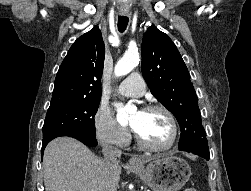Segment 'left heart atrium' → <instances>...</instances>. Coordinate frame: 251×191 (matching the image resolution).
I'll return each instance as SVG.
<instances>
[{"label":"left heart atrium","mask_w":251,"mask_h":191,"mask_svg":"<svg viewBox=\"0 0 251 191\" xmlns=\"http://www.w3.org/2000/svg\"><path fill=\"white\" fill-rule=\"evenodd\" d=\"M143 111H140L138 114L141 115Z\"/></svg>","instance_id":"obj_1"}]
</instances>
